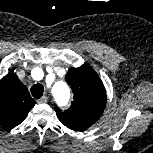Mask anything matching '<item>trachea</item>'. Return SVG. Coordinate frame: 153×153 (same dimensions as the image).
<instances>
[{
    "label": "trachea",
    "mask_w": 153,
    "mask_h": 153,
    "mask_svg": "<svg viewBox=\"0 0 153 153\" xmlns=\"http://www.w3.org/2000/svg\"><path fill=\"white\" fill-rule=\"evenodd\" d=\"M44 92V87L41 84H34L31 87V94L34 98L39 99L42 97Z\"/></svg>",
    "instance_id": "3493384b"
}]
</instances>
